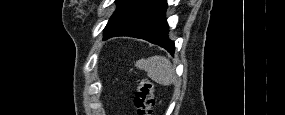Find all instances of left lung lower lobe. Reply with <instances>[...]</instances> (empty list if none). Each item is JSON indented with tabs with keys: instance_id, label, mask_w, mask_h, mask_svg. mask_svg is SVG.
<instances>
[{
	"instance_id": "obj_1",
	"label": "left lung lower lobe",
	"mask_w": 285,
	"mask_h": 115,
	"mask_svg": "<svg viewBox=\"0 0 285 115\" xmlns=\"http://www.w3.org/2000/svg\"><path fill=\"white\" fill-rule=\"evenodd\" d=\"M166 8V0H130L106 25L104 40L115 36L141 38L173 55L175 46L168 38Z\"/></svg>"
}]
</instances>
